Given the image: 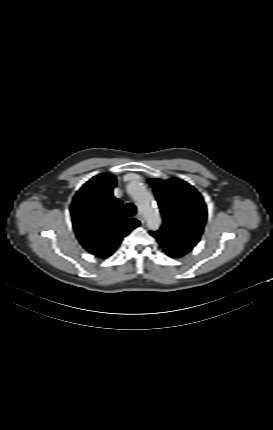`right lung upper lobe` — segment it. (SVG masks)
<instances>
[{"label":"right lung upper lobe","instance_id":"right-lung-upper-lobe-1","mask_svg":"<svg viewBox=\"0 0 273 430\" xmlns=\"http://www.w3.org/2000/svg\"><path fill=\"white\" fill-rule=\"evenodd\" d=\"M115 185V176L99 174L79 189L70 207L79 242L100 258L109 257L122 238L140 225L138 220L123 216L122 202L112 194Z\"/></svg>","mask_w":273,"mask_h":430}]
</instances>
